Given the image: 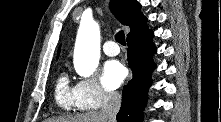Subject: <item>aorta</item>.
<instances>
[{"instance_id": "aorta-1", "label": "aorta", "mask_w": 221, "mask_h": 122, "mask_svg": "<svg viewBox=\"0 0 221 122\" xmlns=\"http://www.w3.org/2000/svg\"><path fill=\"white\" fill-rule=\"evenodd\" d=\"M100 57V30L93 21H82L78 30L75 49L74 67L80 76H91L98 64Z\"/></svg>"}]
</instances>
